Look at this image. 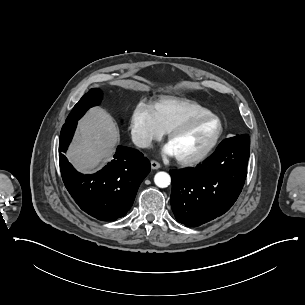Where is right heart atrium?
I'll return each mask as SVG.
<instances>
[{"label": "right heart atrium", "mask_w": 305, "mask_h": 305, "mask_svg": "<svg viewBox=\"0 0 305 305\" xmlns=\"http://www.w3.org/2000/svg\"><path fill=\"white\" fill-rule=\"evenodd\" d=\"M130 133L133 142L142 149H150L164 134L154 106L140 103L130 117Z\"/></svg>", "instance_id": "d8ad5b80"}]
</instances>
